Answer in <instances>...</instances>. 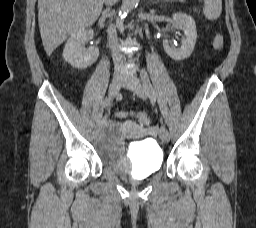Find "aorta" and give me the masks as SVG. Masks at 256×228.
I'll return each mask as SVG.
<instances>
[{"instance_id":"762f6f07","label":"aorta","mask_w":256,"mask_h":228,"mask_svg":"<svg viewBox=\"0 0 256 228\" xmlns=\"http://www.w3.org/2000/svg\"><path fill=\"white\" fill-rule=\"evenodd\" d=\"M139 0H122V5L117 19V26L120 31H124V17L138 4Z\"/></svg>"}]
</instances>
